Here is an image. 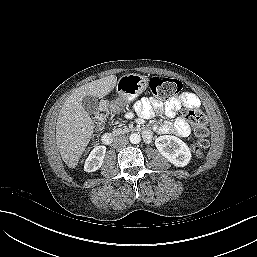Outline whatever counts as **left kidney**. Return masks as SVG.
<instances>
[{
	"mask_svg": "<svg viewBox=\"0 0 257 257\" xmlns=\"http://www.w3.org/2000/svg\"><path fill=\"white\" fill-rule=\"evenodd\" d=\"M155 146L162 156L177 167H184L191 160L189 147L175 136H159L155 140Z\"/></svg>",
	"mask_w": 257,
	"mask_h": 257,
	"instance_id": "5707ae66",
	"label": "left kidney"
}]
</instances>
